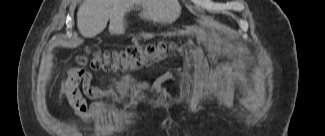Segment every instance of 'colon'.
Segmentation results:
<instances>
[{
  "mask_svg": "<svg viewBox=\"0 0 325 136\" xmlns=\"http://www.w3.org/2000/svg\"><path fill=\"white\" fill-rule=\"evenodd\" d=\"M173 50V45L159 43L145 47L131 46L120 52L90 53L87 51L86 54L80 55L77 61L79 64L89 61L95 70H135L148 63L166 58Z\"/></svg>",
  "mask_w": 325,
  "mask_h": 136,
  "instance_id": "colon-1",
  "label": "colon"
}]
</instances>
